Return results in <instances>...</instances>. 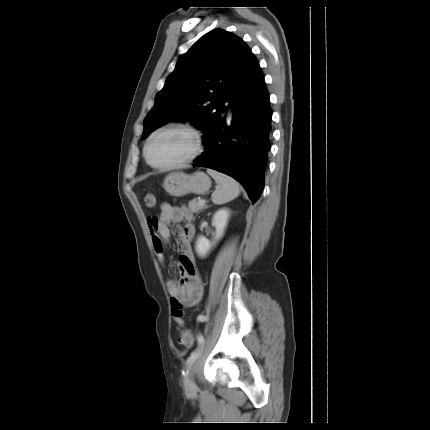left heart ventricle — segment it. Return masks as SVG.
Here are the masks:
<instances>
[{
    "label": "left heart ventricle",
    "mask_w": 430,
    "mask_h": 430,
    "mask_svg": "<svg viewBox=\"0 0 430 430\" xmlns=\"http://www.w3.org/2000/svg\"><path fill=\"white\" fill-rule=\"evenodd\" d=\"M194 146V137L189 132L172 129L154 138L149 147V157L155 164L169 165L188 157Z\"/></svg>",
    "instance_id": "obj_1"
}]
</instances>
